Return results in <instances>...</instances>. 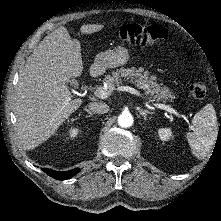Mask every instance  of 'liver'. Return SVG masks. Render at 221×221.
<instances>
[{
	"instance_id": "liver-1",
	"label": "liver",
	"mask_w": 221,
	"mask_h": 221,
	"mask_svg": "<svg viewBox=\"0 0 221 221\" xmlns=\"http://www.w3.org/2000/svg\"><path fill=\"white\" fill-rule=\"evenodd\" d=\"M103 28L86 24L80 32L92 34ZM82 71L80 43L65 27L48 34L34 49L20 71L14 97L17 132L26 149L47 140L81 106L83 100L73 99L67 84Z\"/></svg>"
}]
</instances>
